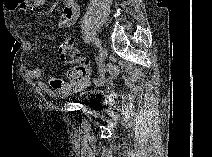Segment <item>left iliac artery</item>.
Returning a JSON list of instances; mask_svg holds the SVG:
<instances>
[{"label":"left iliac artery","instance_id":"left-iliac-artery-1","mask_svg":"<svg viewBox=\"0 0 212 157\" xmlns=\"http://www.w3.org/2000/svg\"><path fill=\"white\" fill-rule=\"evenodd\" d=\"M94 44L98 47V48H101V42L98 38H95L94 40Z\"/></svg>","mask_w":212,"mask_h":157}]
</instances>
